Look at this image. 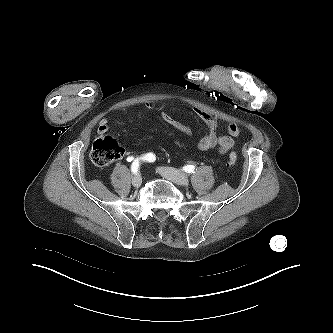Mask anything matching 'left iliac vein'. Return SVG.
Listing matches in <instances>:
<instances>
[{
  "label": "left iliac vein",
  "mask_w": 333,
  "mask_h": 333,
  "mask_svg": "<svg viewBox=\"0 0 333 333\" xmlns=\"http://www.w3.org/2000/svg\"><path fill=\"white\" fill-rule=\"evenodd\" d=\"M158 172L166 179L171 182L180 185V186H188L189 179L188 176L180 171H177L170 167H159Z\"/></svg>",
  "instance_id": "1"
}]
</instances>
